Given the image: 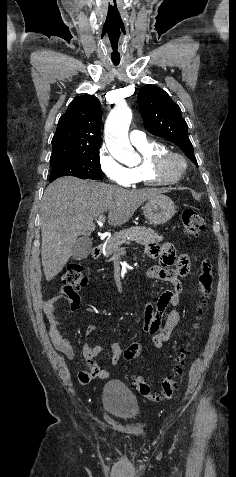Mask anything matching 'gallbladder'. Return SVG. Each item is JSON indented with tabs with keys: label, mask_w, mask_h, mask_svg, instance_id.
<instances>
[{
	"label": "gallbladder",
	"mask_w": 236,
	"mask_h": 477,
	"mask_svg": "<svg viewBox=\"0 0 236 477\" xmlns=\"http://www.w3.org/2000/svg\"><path fill=\"white\" fill-rule=\"evenodd\" d=\"M92 250V240L83 236L77 239L76 243L72 248V257L76 260L85 259Z\"/></svg>",
	"instance_id": "gallbladder-1"
}]
</instances>
